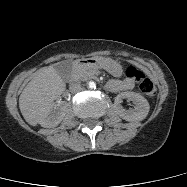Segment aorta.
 <instances>
[{
  "mask_svg": "<svg viewBox=\"0 0 187 187\" xmlns=\"http://www.w3.org/2000/svg\"><path fill=\"white\" fill-rule=\"evenodd\" d=\"M89 88L94 89L96 88V84L94 82L89 83Z\"/></svg>",
  "mask_w": 187,
  "mask_h": 187,
  "instance_id": "762f6f07",
  "label": "aorta"
}]
</instances>
